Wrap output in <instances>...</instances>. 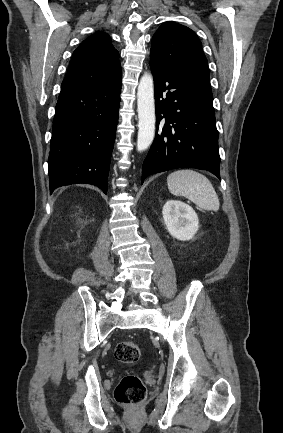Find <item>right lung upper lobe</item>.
<instances>
[{
  "mask_svg": "<svg viewBox=\"0 0 283 433\" xmlns=\"http://www.w3.org/2000/svg\"><path fill=\"white\" fill-rule=\"evenodd\" d=\"M119 77V53L107 34L98 31L74 51L60 94L101 86Z\"/></svg>",
  "mask_w": 283,
  "mask_h": 433,
  "instance_id": "1",
  "label": "right lung upper lobe"
}]
</instances>
